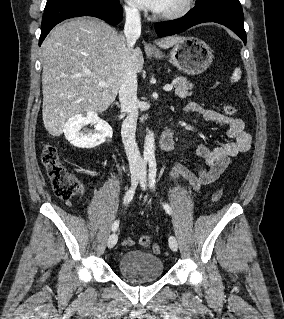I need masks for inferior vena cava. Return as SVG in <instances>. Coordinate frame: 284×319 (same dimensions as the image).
I'll return each mask as SVG.
<instances>
[{"mask_svg":"<svg viewBox=\"0 0 284 319\" xmlns=\"http://www.w3.org/2000/svg\"><path fill=\"white\" fill-rule=\"evenodd\" d=\"M124 34L128 51L132 52L136 40L141 34L140 13L137 9L126 10ZM119 101L121 112L127 113V117L122 124L121 136L129 167L131 171H139L143 166V160L135 138L139 104L137 99V74L131 64L125 66L119 89Z\"/></svg>","mask_w":284,"mask_h":319,"instance_id":"inferior-vena-cava-1","label":"inferior vena cava"}]
</instances>
